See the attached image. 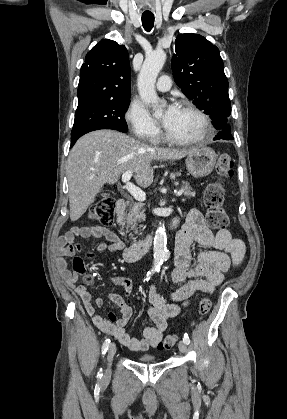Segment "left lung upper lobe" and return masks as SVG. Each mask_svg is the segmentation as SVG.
Returning <instances> with one entry per match:
<instances>
[{
  "label": "left lung upper lobe",
  "instance_id": "left-lung-upper-lobe-1",
  "mask_svg": "<svg viewBox=\"0 0 287 419\" xmlns=\"http://www.w3.org/2000/svg\"><path fill=\"white\" fill-rule=\"evenodd\" d=\"M172 71L177 85L220 130L230 122L228 80L219 49L203 36L180 34L175 41Z\"/></svg>",
  "mask_w": 287,
  "mask_h": 419
}]
</instances>
